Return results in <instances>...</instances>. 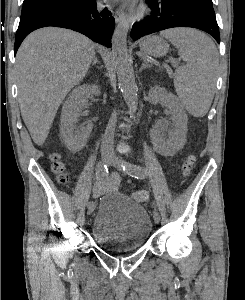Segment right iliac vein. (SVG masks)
Returning <instances> with one entry per match:
<instances>
[{
	"mask_svg": "<svg viewBox=\"0 0 245 300\" xmlns=\"http://www.w3.org/2000/svg\"><path fill=\"white\" fill-rule=\"evenodd\" d=\"M111 153L107 150H104L102 152V158L104 160V162L108 163L109 159H110ZM96 204L94 205H89V203L87 204V215H90L93 213V211L95 210Z\"/></svg>",
	"mask_w": 245,
	"mask_h": 300,
	"instance_id": "obj_1",
	"label": "right iliac vein"
}]
</instances>
